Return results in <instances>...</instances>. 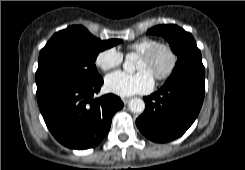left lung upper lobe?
I'll return each mask as SVG.
<instances>
[{"instance_id":"obj_1","label":"left lung upper lobe","mask_w":245,"mask_h":170,"mask_svg":"<svg viewBox=\"0 0 245 170\" xmlns=\"http://www.w3.org/2000/svg\"><path fill=\"white\" fill-rule=\"evenodd\" d=\"M148 33L163 36L178 56L176 67L166 82L185 76L205 78L201 52L190 33L176 25H158L148 30Z\"/></svg>"}]
</instances>
